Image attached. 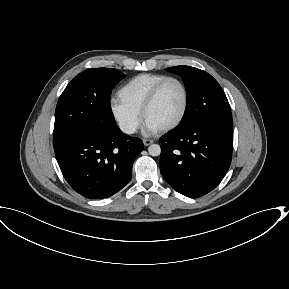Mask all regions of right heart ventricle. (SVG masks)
I'll return each instance as SVG.
<instances>
[{"label": "right heart ventricle", "instance_id": "obj_1", "mask_svg": "<svg viewBox=\"0 0 289 289\" xmlns=\"http://www.w3.org/2000/svg\"><path fill=\"white\" fill-rule=\"evenodd\" d=\"M166 77V75L155 73L139 74L118 90V100L128 108L141 113L143 103L151 89Z\"/></svg>", "mask_w": 289, "mask_h": 289}]
</instances>
